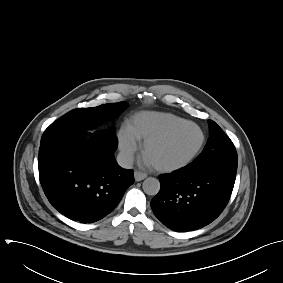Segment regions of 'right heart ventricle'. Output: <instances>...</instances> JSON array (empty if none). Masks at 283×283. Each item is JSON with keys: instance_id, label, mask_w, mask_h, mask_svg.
<instances>
[{"instance_id": "e07e8e85", "label": "right heart ventricle", "mask_w": 283, "mask_h": 283, "mask_svg": "<svg viewBox=\"0 0 283 283\" xmlns=\"http://www.w3.org/2000/svg\"><path fill=\"white\" fill-rule=\"evenodd\" d=\"M183 120L172 113L142 111L129 117L125 122L124 129L135 142H141Z\"/></svg>"}]
</instances>
